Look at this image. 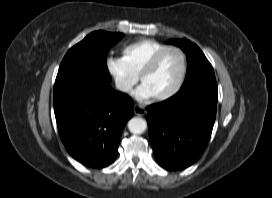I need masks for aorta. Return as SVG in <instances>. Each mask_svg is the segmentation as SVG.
Segmentation results:
<instances>
[{"label":"aorta","instance_id":"1","mask_svg":"<svg viewBox=\"0 0 272 198\" xmlns=\"http://www.w3.org/2000/svg\"><path fill=\"white\" fill-rule=\"evenodd\" d=\"M147 128V123L143 118L134 117L128 122V129L133 134H142Z\"/></svg>","mask_w":272,"mask_h":198}]
</instances>
